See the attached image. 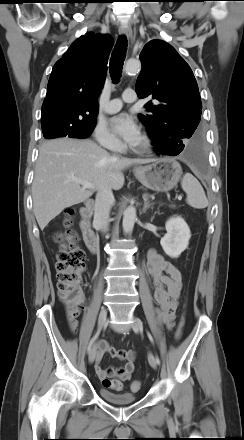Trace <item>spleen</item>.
Masks as SVG:
<instances>
[{
    "label": "spleen",
    "instance_id": "obj_1",
    "mask_svg": "<svg viewBox=\"0 0 244 440\" xmlns=\"http://www.w3.org/2000/svg\"><path fill=\"white\" fill-rule=\"evenodd\" d=\"M181 187L187 195L186 202L188 205L196 209H204L208 206L209 202L204 189L192 174L186 173L183 176Z\"/></svg>",
    "mask_w": 244,
    "mask_h": 440
}]
</instances>
